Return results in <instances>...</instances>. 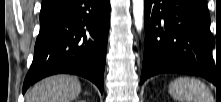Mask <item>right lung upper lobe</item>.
Returning a JSON list of instances; mask_svg holds the SVG:
<instances>
[{
  "label": "right lung upper lobe",
  "mask_w": 221,
  "mask_h": 102,
  "mask_svg": "<svg viewBox=\"0 0 221 102\" xmlns=\"http://www.w3.org/2000/svg\"><path fill=\"white\" fill-rule=\"evenodd\" d=\"M64 0H43L41 6V13H46L57 7Z\"/></svg>",
  "instance_id": "cb5924a9"
}]
</instances>
